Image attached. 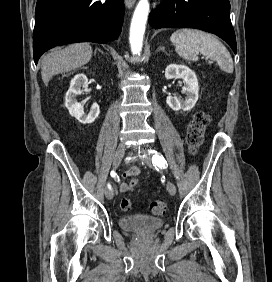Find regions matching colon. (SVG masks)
Wrapping results in <instances>:
<instances>
[{"instance_id":"colon-1","label":"colon","mask_w":272,"mask_h":282,"mask_svg":"<svg viewBox=\"0 0 272 282\" xmlns=\"http://www.w3.org/2000/svg\"><path fill=\"white\" fill-rule=\"evenodd\" d=\"M210 116L205 112H198L194 115L192 121L188 125L186 134V143L192 153H196L203 142L204 134L209 126ZM129 184L132 187L138 185L136 179H130ZM133 203L129 197H122L120 199V207L123 211L132 209ZM166 202L162 199L155 200L150 205V212L154 216H161L166 211Z\"/></svg>"}]
</instances>
